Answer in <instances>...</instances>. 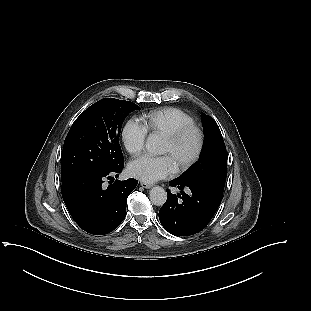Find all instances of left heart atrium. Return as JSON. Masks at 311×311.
Returning <instances> with one entry per match:
<instances>
[{
    "mask_svg": "<svg viewBox=\"0 0 311 311\" xmlns=\"http://www.w3.org/2000/svg\"><path fill=\"white\" fill-rule=\"evenodd\" d=\"M173 164L168 156L144 155L129 164V173L144 182H155L173 173Z\"/></svg>",
    "mask_w": 311,
    "mask_h": 311,
    "instance_id": "39dd6f15",
    "label": "left heart atrium"
}]
</instances>
